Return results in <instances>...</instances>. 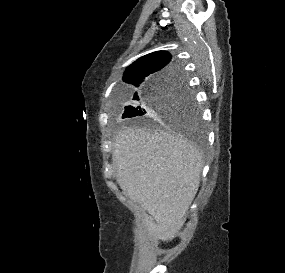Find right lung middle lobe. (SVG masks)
Masks as SVG:
<instances>
[{"instance_id":"dd1d6c3e","label":"right lung middle lobe","mask_w":285,"mask_h":273,"mask_svg":"<svg viewBox=\"0 0 285 273\" xmlns=\"http://www.w3.org/2000/svg\"><path fill=\"white\" fill-rule=\"evenodd\" d=\"M133 100L132 106L125 107L122 118L161 119L189 131L201 126L194 98L179 69L149 82Z\"/></svg>"}]
</instances>
